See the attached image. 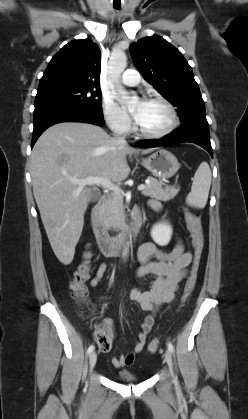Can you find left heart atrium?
I'll use <instances>...</instances> for the list:
<instances>
[{"mask_svg": "<svg viewBox=\"0 0 248 419\" xmlns=\"http://www.w3.org/2000/svg\"><path fill=\"white\" fill-rule=\"evenodd\" d=\"M144 103V101L143 102H141V104H143ZM139 111H137L136 113H134V117H135V119H137L138 117H139Z\"/></svg>", "mask_w": 248, "mask_h": 419, "instance_id": "39dd6f15", "label": "left heart atrium"}]
</instances>
